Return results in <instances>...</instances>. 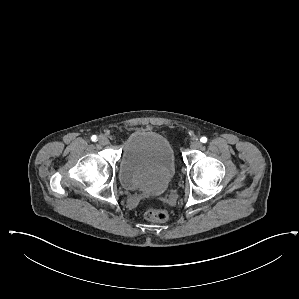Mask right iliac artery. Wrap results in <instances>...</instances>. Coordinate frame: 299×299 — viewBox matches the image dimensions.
Returning <instances> with one entry per match:
<instances>
[{
	"label": "right iliac artery",
	"mask_w": 299,
	"mask_h": 299,
	"mask_svg": "<svg viewBox=\"0 0 299 299\" xmlns=\"http://www.w3.org/2000/svg\"><path fill=\"white\" fill-rule=\"evenodd\" d=\"M91 140H92V141H96V140H97V136H96V135H93V136L91 137Z\"/></svg>",
	"instance_id": "right-iliac-artery-1"
}]
</instances>
